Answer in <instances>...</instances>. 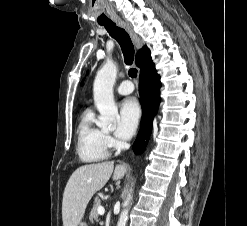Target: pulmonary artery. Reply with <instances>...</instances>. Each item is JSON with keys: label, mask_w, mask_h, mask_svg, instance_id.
<instances>
[{"label": "pulmonary artery", "mask_w": 247, "mask_h": 226, "mask_svg": "<svg viewBox=\"0 0 247 226\" xmlns=\"http://www.w3.org/2000/svg\"><path fill=\"white\" fill-rule=\"evenodd\" d=\"M134 90V85L131 81L125 80L117 87V93L120 95H128Z\"/></svg>", "instance_id": "e3ab8cb5"}]
</instances>
